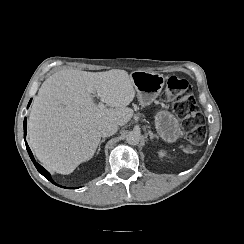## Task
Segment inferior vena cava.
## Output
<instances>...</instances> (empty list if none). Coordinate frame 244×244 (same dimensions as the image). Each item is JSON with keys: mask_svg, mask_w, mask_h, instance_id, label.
Listing matches in <instances>:
<instances>
[{"mask_svg": "<svg viewBox=\"0 0 244 244\" xmlns=\"http://www.w3.org/2000/svg\"><path fill=\"white\" fill-rule=\"evenodd\" d=\"M117 130L118 124L116 122H108L100 127V133L105 137L115 134Z\"/></svg>", "mask_w": 244, "mask_h": 244, "instance_id": "inferior-vena-cava-1", "label": "inferior vena cava"}]
</instances>
